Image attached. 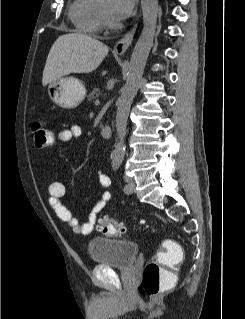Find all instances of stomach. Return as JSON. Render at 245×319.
<instances>
[{
    "instance_id": "obj_1",
    "label": "stomach",
    "mask_w": 245,
    "mask_h": 319,
    "mask_svg": "<svg viewBox=\"0 0 245 319\" xmlns=\"http://www.w3.org/2000/svg\"><path fill=\"white\" fill-rule=\"evenodd\" d=\"M48 94L57 106L72 109L82 103L86 95V88L78 78L61 77L49 83Z\"/></svg>"
}]
</instances>
